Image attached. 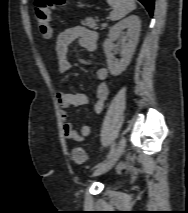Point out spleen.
<instances>
[{"mask_svg":"<svg viewBox=\"0 0 188 213\" xmlns=\"http://www.w3.org/2000/svg\"><path fill=\"white\" fill-rule=\"evenodd\" d=\"M108 4L113 7L110 13V19L119 20L136 8L135 0H107Z\"/></svg>","mask_w":188,"mask_h":213,"instance_id":"obj_1","label":"spleen"}]
</instances>
